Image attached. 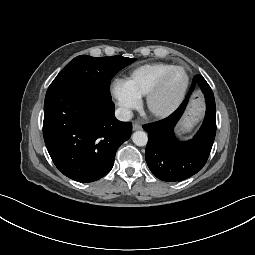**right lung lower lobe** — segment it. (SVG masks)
<instances>
[{"instance_id":"obj_1","label":"right lung lower lobe","mask_w":255,"mask_h":255,"mask_svg":"<svg viewBox=\"0 0 255 255\" xmlns=\"http://www.w3.org/2000/svg\"><path fill=\"white\" fill-rule=\"evenodd\" d=\"M132 124L118 121L114 103L82 87L47 90L43 135L55 166L78 182H93L113 167L117 149L131 136Z\"/></svg>"}]
</instances>
